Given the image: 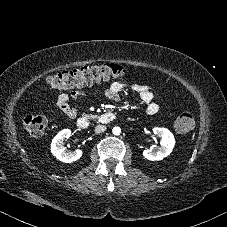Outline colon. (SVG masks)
Listing matches in <instances>:
<instances>
[{"instance_id": "1", "label": "colon", "mask_w": 227, "mask_h": 227, "mask_svg": "<svg viewBox=\"0 0 227 227\" xmlns=\"http://www.w3.org/2000/svg\"><path fill=\"white\" fill-rule=\"evenodd\" d=\"M129 72L120 65L103 63L61 71L48 77V84L57 90L77 89L97 81L110 78H123ZM27 131L34 136L41 135L47 128L48 120L41 115H28L24 119ZM195 125L191 111L182 112L175 120L174 127L180 133L190 131Z\"/></svg>"}]
</instances>
